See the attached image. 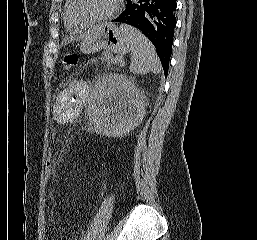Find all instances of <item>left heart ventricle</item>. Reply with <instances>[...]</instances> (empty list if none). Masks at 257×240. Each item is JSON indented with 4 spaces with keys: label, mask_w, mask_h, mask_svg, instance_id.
<instances>
[{
    "label": "left heart ventricle",
    "mask_w": 257,
    "mask_h": 240,
    "mask_svg": "<svg viewBox=\"0 0 257 240\" xmlns=\"http://www.w3.org/2000/svg\"><path fill=\"white\" fill-rule=\"evenodd\" d=\"M116 0H80L79 10L87 17L97 18L108 14Z\"/></svg>",
    "instance_id": "left-heart-ventricle-1"
}]
</instances>
